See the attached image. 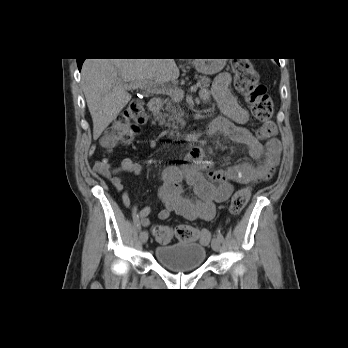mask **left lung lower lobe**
<instances>
[{"instance_id": "left-lung-lower-lobe-1", "label": "left lung lower lobe", "mask_w": 348, "mask_h": 348, "mask_svg": "<svg viewBox=\"0 0 348 348\" xmlns=\"http://www.w3.org/2000/svg\"><path fill=\"white\" fill-rule=\"evenodd\" d=\"M276 60V62L279 64V61L277 60V59H275Z\"/></svg>"}]
</instances>
